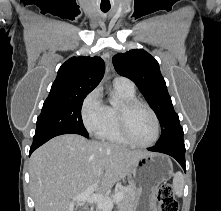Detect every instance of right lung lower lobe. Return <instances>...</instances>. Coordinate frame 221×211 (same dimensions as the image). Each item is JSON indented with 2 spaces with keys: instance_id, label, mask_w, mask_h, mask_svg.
Segmentation results:
<instances>
[{
  "instance_id": "right-lung-lower-lobe-1",
  "label": "right lung lower lobe",
  "mask_w": 221,
  "mask_h": 211,
  "mask_svg": "<svg viewBox=\"0 0 221 211\" xmlns=\"http://www.w3.org/2000/svg\"><path fill=\"white\" fill-rule=\"evenodd\" d=\"M68 133H73V132H59V133H53L50 135H45V136H41L39 138H34L33 139V143L32 146L30 147V152L29 155H31V153L37 149L39 146H41L42 144H44L45 142H47L48 140H50L51 138L58 136V135H62V134H68ZM76 134V133H75Z\"/></svg>"
}]
</instances>
